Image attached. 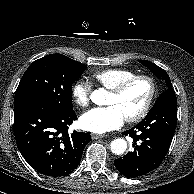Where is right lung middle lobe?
Here are the masks:
<instances>
[{
    "label": "right lung middle lobe",
    "instance_id": "dd1d6c3e",
    "mask_svg": "<svg viewBox=\"0 0 194 194\" xmlns=\"http://www.w3.org/2000/svg\"><path fill=\"white\" fill-rule=\"evenodd\" d=\"M86 68V65L62 54L40 58L25 71L14 104L40 100L59 108L71 107L72 84Z\"/></svg>",
    "mask_w": 194,
    "mask_h": 194
}]
</instances>
